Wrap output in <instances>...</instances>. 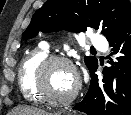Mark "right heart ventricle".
Returning <instances> with one entry per match:
<instances>
[{
	"mask_svg": "<svg viewBox=\"0 0 131 115\" xmlns=\"http://www.w3.org/2000/svg\"><path fill=\"white\" fill-rule=\"evenodd\" d=\"M48 56V51L38 47L29 52L21 61L17 80L23 98L33 104H41L44 101L34 88V77L37 66Z\"/></svg>",
	"mask_w": 131,
	"mask_h": 115,
	"instance_id": "obj_1",
	"label": "right heart ventricle"
}]
</instances>
